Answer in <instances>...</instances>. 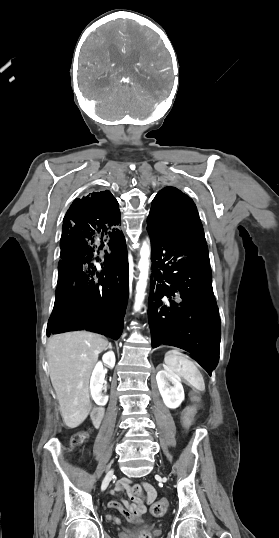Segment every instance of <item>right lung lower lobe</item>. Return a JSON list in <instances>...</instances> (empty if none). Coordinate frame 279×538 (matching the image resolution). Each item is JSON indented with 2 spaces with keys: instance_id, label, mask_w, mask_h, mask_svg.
Wrapping results in <instances>:
<instances>
[{
  "instance_id": "1",
  "label": "right lung lower lobe",
  "mask_w": 279,
  "mask_h": 538,
  "mask_svg": "<svg viewBox=\"0 0 279 538\" xmlns=\"http://www.w3.org/2000/svg\"><path fill=\"white\" fill-rule=\"evenodd\" d=\"M118 202L110 191L73 201L63 219L61 260L47 336L96 330L120 337L129 295Z\"/></svg>"
}]
</instances>
